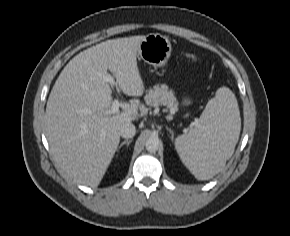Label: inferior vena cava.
<instances>
[{
  "instance_id": "inferior-vena-cava-1",
  "label": "inferior vena cava",
  "mask_w": 290,
  "mask_h": 236,
  "mask_svg": "<svg viewBox=\"0 0 290 236\" xmlns=\"http://www.w3.org/2000/svg\"><path fill=\"white\" fill-rule=\"evenodd\" d=\"M136 133V128L132 123H126L120 128V135L123 138H132Z\"/></svg>"
}]
</instances>
